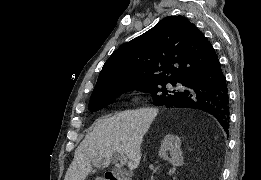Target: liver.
<instances>
[{"mask_svg":"<svg viewBox=\"0 0 261 180\" xmlns=\"http://www.w3.org/2000/svg\"><path fill=\"white\" fill-rule=\"evenodd\" d=\"M156 114L155 108H141L96 120L93 132L85 136L74 154L67 180H86L91 172H95L92 164L96 168H109L110 158H113L115 152L125 154L128 168L136 170L141 160L143 136Z\"/></svg>","mask_w":261,"mask_h":180,"instance_id":"obj_1","label":"liver"}]
</instances>
